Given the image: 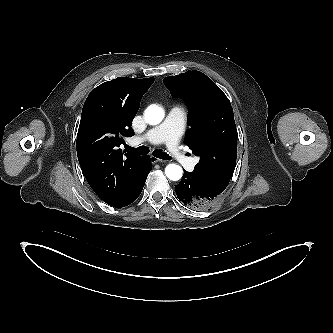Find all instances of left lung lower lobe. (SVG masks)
<instances>
[{"label": "left lung lower lobe", "instance_id": "1", "mask_svg": "<svg viewBox=\"0 0 333 333\" xmlns=\"http://www.w3.org/2000/svg\"><path fill=\"white\" fill-rule=\"evenodd\" d=\"M176 187V195L185 205L196 210L212 206L222 192L199 180L192 172L184 171V175Z\"/></svg>", "mask_w": 333, "mask_h": 333}]
</instances>
